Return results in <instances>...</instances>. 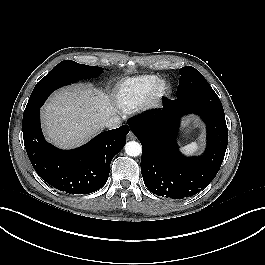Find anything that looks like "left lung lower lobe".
Listing matches in <instances>:
<instances>
[{"mask_svg": "<svg viewBox=\"0 0 265 265\" xmlns=\"http://www.w3.org/2000/svg\"><path fill=\"white\" fill-rule=\"evenodd\" d=\"M195 113L206 123L207 147L201 157H185L176 145L180 118ZM142 144L141 173L145 186L162 197H191L206 187L220 169L228 143L225 115L163 101V109L130 119Z\"/></svg>", "mask_w": 265, "mask_h": 265, "instance_id": "1", "label": "left lung lower lobe"}]
</instances>
